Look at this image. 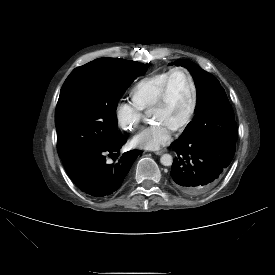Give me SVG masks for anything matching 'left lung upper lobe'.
I'll list each match as a JSON object with an SVG mask.
<instances>
[{
	"mask_svg": "<svg viewBox=\"0 0 275 275\" xmlns=\"http://www.w3.org/2000/svg\"><path fill=\"white\" fill-rule=\"evenodd\" d=\"M171 64L183 66L191 72L198 94L196 118L187 125L178 139L226 136L236 142L234 112L218 79L189 60H178Z\"/></svg>",
	"mask_w": 275,
	"mask_h": 275,
	"instance_id": "obj_1",
	"label": "left lung upper lobe"
}]
</instances>
